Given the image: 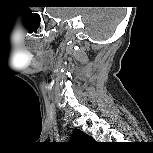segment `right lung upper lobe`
<instances>
[{
  "instance_id": "cb5924a9",
  "label": "right lung upper lobe",
  "mask_w": 153,
  "mask_h": 153,
  "mask_svg": "<svg viewBox=\"0 0 153 153\" xmlns=\"http://www.w3.org/2000/svg\"><path fill=\"white\" fill-rule=\"evenodd\" d=\"M70 141H77V142H82V143H89V142L92 143L94 140L90 136L85 134L84 132L80 130H76L72 134Z\"/></svg>"
}]
</instances>
